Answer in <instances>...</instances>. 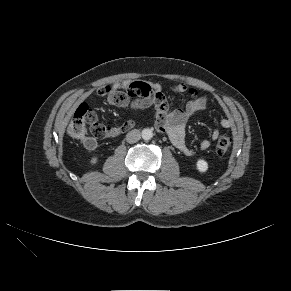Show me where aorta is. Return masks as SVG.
Segmentation results:
<instances>
[{
    "label": "aorta",
    "instance_id": "aorta-1",
    "mask_svg": "<svg viewBox=\"0 0 291 291\" xmlns=\"http://www.w3.org/2000/svg\"><path fill=\"white\" fill-rule=\"evenodd\" d=\"M141 136L144 140H150L153 137V132L151 129L145 128L142 130Z\"/></svg>",
    "mask_w": 291,
    "mask_h": 291
}]
</instances>
